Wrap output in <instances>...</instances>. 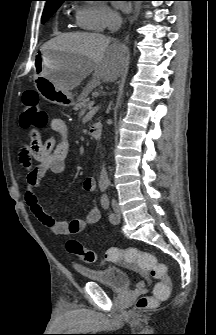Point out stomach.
<instances>
[{"instance_id": "stomach-1", "label": "stomach", "mask_w": 216, "mask_h": 335, "mask_svg": "<svg viewBox=\"0 0 216 335\" xmlns=\"http://www.w3.org/2000/svg\"><path fill=\"white\" fill-rule=\"evenodd\" d=\"M72 56L68 53L46 50L36 57L34 84L38 93L48 102L64 107L75 104L74 95L62 90L53 78L63 73L71 64Z\"/></svg>"}]
</instances>
